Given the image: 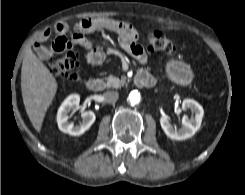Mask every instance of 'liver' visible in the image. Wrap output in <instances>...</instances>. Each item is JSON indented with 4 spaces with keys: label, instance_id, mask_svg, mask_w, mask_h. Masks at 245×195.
Instances as JSON below:
<instances>
[{
    "label": "liver",
    "instance_id": "obj_1",
    "mask_svg": "<svg viewBox=\"0 0 245 195\" xmlns=\"http://www.w3.org/2000/svg\"><path fill=\"white\" fill-rule=\"evenodd\" d=\"M58 84L50 70L28 49L21 69V91L27 115L40 132L47 109L51 105Z\"/></svg>",
    "mask_w": 245,
    "mask_h": 195
}]
</instances>
